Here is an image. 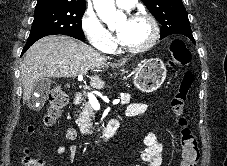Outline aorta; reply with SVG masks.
Returning <instances> with one entry per match:
<instances>
[{"label": "aorta", "instance_id": "aorta-1", "mask_svg": "<svg viewBox=\"0 0 227 166\" xmlns=\"http://www.w3.org/2000/svg\"><path fill=\"white\" fill-rule=\"evenodd\" d=\"M93 4L99 18L109 27L126 20L125 14L116 10L114 0H93Z\"/></svg>", "mask_w": 227, "mask_h": 166}]
</instances>
